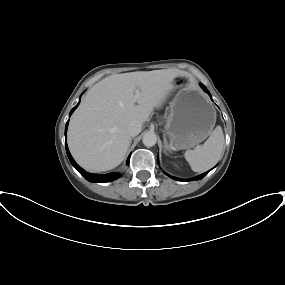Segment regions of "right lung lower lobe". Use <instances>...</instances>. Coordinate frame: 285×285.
Listing matches in <instances>:
<instances>
[{"mask_svg":"<svg viewBox=\"0 0 285 285\" xmlns=\"http://www.w3.org/2000/svg\"><path fill=\"white\" fill-rule=\"evenodd\" d=\"M79 105V103L71 110L70 115L72 114V112L74 111V109ZM69 122V121H68ZM68 122L66 123V127H65V132L67 131V126H68ZM66 134V133H65ZM65 146H66V152L68 155V158L71 162V164L79 171V173L88 181L90 182H111L113 180H116L120 175L115 174V173H108V174H103V175H98V174H92V173H88L85 172L81 167H79L75 161L73 160L68 147H67V143L65 142ZM130 158V157H129ZM128 158V161H129Z\"/></svg>","mask_w":285,"mask_h":285,"instance_id":"1","label":"right lung lower lobe"}]
</instances>
